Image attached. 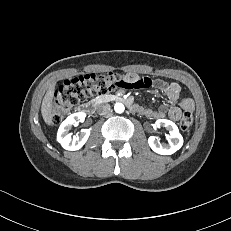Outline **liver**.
Returning a JSON list of instances; mask_svg holds the SVG:
<instances>
[{"instance_id": "obj_1", "label": "liver", "mask_w": 231, "mask_h": 231, "mask_svg": "<svg viewBox=\"0 0 231 231\" xmlns=\"http://www.w3.org/2000/svg\"><path fill=\"white\" fill-rule=\"evenodd\" d=\"M54 90H55V84L53 83L49 87L48 91L46 92L41 105V114L43 120L49 126H51L53 123L52 106H53Z\"/></svg>"}]
</instances>
